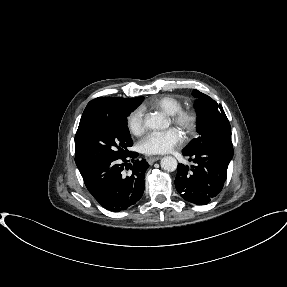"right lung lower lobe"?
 <instances>
[{
    "label": "right lung lower lobe",
    "instance_id": "98d812e1",
    "mask_svg": "<svg viewBox=\"0 0 287 287\" xmlns=\"http://www.w3.org/2000/svg\"><path fill=\"white\" fill-rule=\"evenodd\" d=\"M137 153L131 152L124 158L105 159L89 166L81 173L88 191L105 209L120 212L133 206L144 192V173L149 164L137 160ZM132 162L131 165L128 162ZM124 167L131 168L128 176H123Z\"/></svg>",
    "mask_w": 287,
    "mask_h": 287
}]
</instances>
